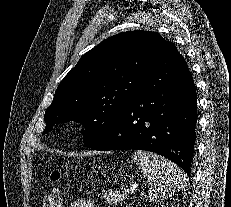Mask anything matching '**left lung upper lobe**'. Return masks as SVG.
<instances>
[{"instance_id": "5c2ea615", "label": "left lung upper lobe", "mask_w": 231, "mask_h": 207, "mask_svg": "<svg viewBox=\"0 0 231 207\" xmlns=\"http://www.w3.org/2000/svg\"><path fill=\"white\" fill-rule=\"evenodd\" d=\"M172 45L156 32L141 30L102 41L59 84L45 112L43 133L58 123L80 122L84 144H97L144 91L147 74Z\"/></svg>"}]
</instances>
